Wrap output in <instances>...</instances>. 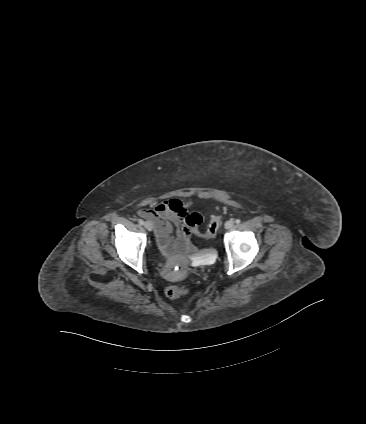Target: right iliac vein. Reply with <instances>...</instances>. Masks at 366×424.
<instances>
[{
    "mask_svg": "<svg viewBox=\"0 0 366 424\" xmlns=\"http://www.w3.org/2000/svg\"><path fill=\"white\" fill-rule=\"evenodd\" d=\"M144 226L148 231H152L153 229V225L150 221L145 222Z\"/></svg>",
    "mask_w": 366,
    "mask_h": 424,
    "instance_id": "right-iliac-vein-1",
    "label": "right iliac vein"
}]
</instances>
